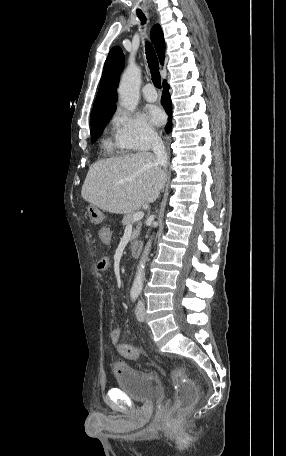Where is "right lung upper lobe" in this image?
<instances>
[{"label":"right lung upper lobe","instance_id":"1","mask_svg":"<svg viewBox=\"0 0 286 456\" xmlns=\"http://www.w3.org/2000/svg\"><path fill=\"white\" fill-rule=\"evenodd\" d=\"M151 39L158 54L160 63L164 64L165 41L160 25H154L151 30ZM124 67V55L118 46L113 47L104 64L98 94L93 104L90 122L116 109V86L120 73Z\"/></svg>","mask_w":286,"mask_h":456}]
</instances>
